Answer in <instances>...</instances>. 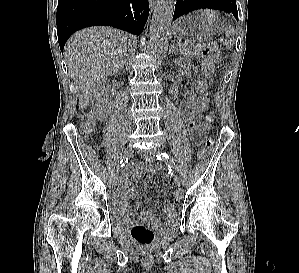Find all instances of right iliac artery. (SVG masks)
<instances>
[{"instance_id": "1", "label": "right iliac artery", "mask_w": 299, "mask_h": 273, "mask_svg": "<svg viewBox=\"0 0 299 273\" xmlns=\"http://www.w3.org/2000/svg\"><path fill=\"white\" fill-rule=\"evenodd\" d=\"M128 162V159L126 158V160H122L120 163H121V165H120V167H123L124 165H125V163H127Z\"/></svg>"}]
</instances>
